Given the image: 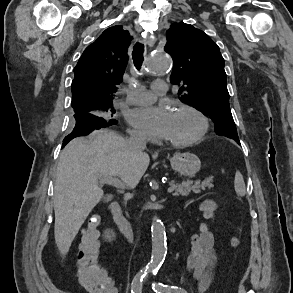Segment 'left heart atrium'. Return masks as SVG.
Segmentation results:
<instances>
[{
  "mask_svg": "<svg viewBox=\"0 0 293 293\" xmlns=\"http://www.w3.org/2000/svg\"><path fill=\"white\" fill-rule=\"evenodd\" d=\"M128 121L153 137H166L172 112L163 106L134 108L127 113Z\"/></svg>",
  "mask_w": 293,
  "mask_h": 293,
  "instance_id": "39dd6f15",
  "label": "left heart atrium"
}]
</instances>
